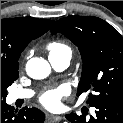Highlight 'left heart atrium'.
<instances>
[{
  "mask_svg": "<svg viewBox=\"0 0 123 123\" xmlns=\"http://www.w3.org/2000/svg\"><path fill=\"white\" fill-rule=\"evenodd\" d=\"M67 94V90L63 86L47 90L40 97V102L48 109H56L60 105L61 98Z\"/></svg>",
  "mask_w": 123,
  "mask_h": 123,
  "instance_id": "39dd6f15",
  "label": "left heart atrium"
}]
</instances>
